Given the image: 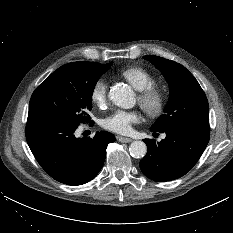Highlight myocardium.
Here are the masks:
<instances>
[{
	"label": "myocardium",
	"mask_w": 233,
	"mask_h": 233,
	"mask_svg": "<svg viewBox=\"0 0 233 233\" xmlns=\"http://www.w3.org/2000/svg\"><path fill=\"white\" fill-rule=\"evenodd\" d=\"M138 100L144 111L151 116L160 114L165 105V96L163 92L153 86L141 90Z\"/></svg>",
	"instance_id": "myocardium-1"
}]
</instances>
